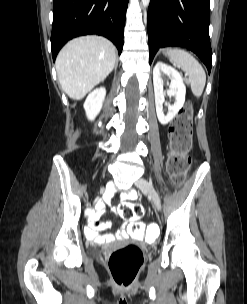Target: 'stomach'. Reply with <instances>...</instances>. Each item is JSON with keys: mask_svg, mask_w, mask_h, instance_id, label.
<instances>
[{"mask_svg": "<svg viewBox=\"0 0 247 304\" xmlns=\"http://www.w3.org/2000/svg\"><path fill=\"white\" fill-rule=\"evenodd\" d=\"M166 52H168V51L164 50V53H166Z\"/></svg>", "mask_w": 247, "mask_h": 304, "instance_id": "1", "label": "stomach"}]
</instances>
